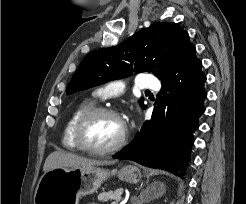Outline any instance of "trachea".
I'll return each instance as SVG.
<instances>
[{"instance_id": "3493384b", "label": "trachea", "mask_w": 246, "mask_h": 204, "mask_svg": "<svg viewBox=\"0 0 246 204\" xmlns=\"http://www.w3.org/2000/svg\"><path fill=\"white\" fill-rule=\"evenodd\" d=\"M146 92H147V93H150V91H149V90H146Z\"/></svg>"}]
</instances>
